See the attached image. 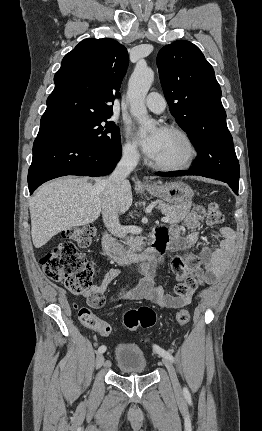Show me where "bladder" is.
<instances>
[{
	"mask_svg": "<svg viewBox=\"0 0 262 431\" xmlns=\"http://www.w3.org/2000/svg\"><path fill=\"white\" fill-rule=\"evenodd\" d=\"M116 364L123 372L143 373L147 368V360L143 350L135 345L123 343L115 349Z\"/></svg>",
	"mask_w": 262,
	"mask_h": 431,
	"instance_id": "1",
	"label": "bladder"
}]
</instances>
